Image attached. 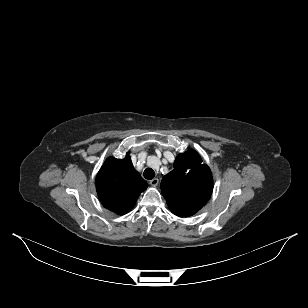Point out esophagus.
Here are the masks:
<instances>
[{
    "label": "esophagus",
    "mask_w": 308,
    "mask_h": 308,
    "mask_svg": "<svg viewBox=\"0 0 308 308\" xmlns=\"http://www.w3.org/2000/svg\"><path fill=\"white\" fill-rule=\"evenodd\" d=\"M159 184V179L158 178H154L152 180H150V185L153 187H156Z\"/></svg>",
    "instance_id": "34e87169"
}]
</instances>
